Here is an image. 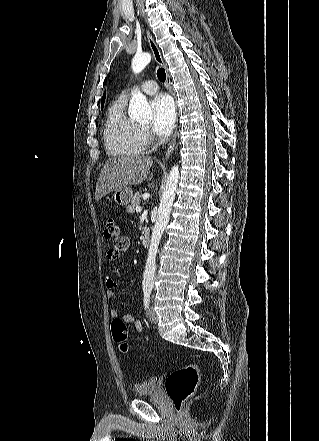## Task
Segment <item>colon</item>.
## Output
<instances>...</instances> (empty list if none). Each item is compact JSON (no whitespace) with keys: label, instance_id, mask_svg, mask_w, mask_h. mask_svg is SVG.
I'll return each mask as SVG.
<instances>
[{"label":"colon","instance_id":"obj_1","mask_svg":"<svg viewBox=\"0 0 319 441\" xmlns=\"http://www.w3.org/2000/svg\"><path fill=\"white\" fill-rule=\"evenodd\" d=\"M103 235L106 239L119 236V227L114 218L105 221ZM113 340L122 352L128 349V329L126 322L121 318L113 319L111 323ZM199 381V368L196 364L190 363L172 371L165 380V389L171 399L177 414L181 415L184 404L196 390Z\"/></svg>","mask_w":319,"mask_h":441}]
</instances>
